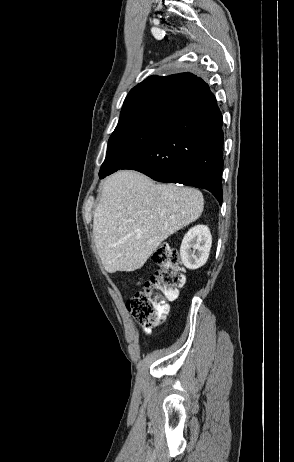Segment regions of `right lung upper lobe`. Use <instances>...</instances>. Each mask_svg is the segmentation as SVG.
Wrapping results in <instances>:
<instances>
[{"label":"right lung upper lobe","instance_id":"cb5924a9","mask_svg":"<svg viewBox=\"0 0 294 462\" xmlns=\"http://www.w3.org/2000/svg\"><path fill=\"white\" fill-rule=\"evenodd\" d=\"M208 85L196 75L180 73L170 76H149L128 93L122 110L160 96L177 93L185 98L187 94H203Z\"/></svg>","mask_w":294,"mask_h":462}]
</instances>
